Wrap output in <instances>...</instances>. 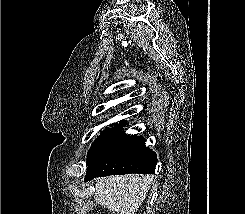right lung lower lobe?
Returning a JSON list of instances; mask_svg holds the SVG:
<instances>
[{"instance_id": "98d812e1", "label": "right lung lower lobe", "mask_w": 245, "mask_h": 214, "mask_svg": "<svg viewBox=\"0 0 245 214\" xmlns=\"http://www.w3.org/2000/svg\"><path fill=\"white\" fill-rule=\"evenodd\" d=\"M119 163L118 167L112 171L100 174L89 175L85 181L98 176L118 175V174H150L155 172L157 163L156 153L145 146L142 136H129L118 146Z\"/></svg>"}]
</instances>
